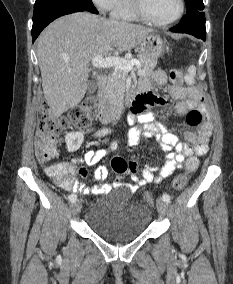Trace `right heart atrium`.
<instances>
[{
	"label": "right heart atrium",
	"mask_w": 233,
	"mask_h": 284,
	"mask_svg": "<svg viewBox=\"0 0 233 284\" xmlns=\"http://www.w3.org/2000/svg\"><path fill=\"white\" fill-rule=\"evenodd\" d=\"M117 0H92L94 5L102 12L111 11Z\"/></svg>",
	"instance_id": "d8ad5b80"
}]
</instances>
